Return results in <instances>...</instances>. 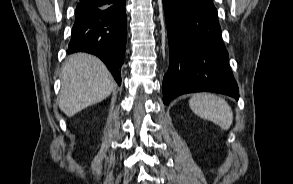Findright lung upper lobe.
I'll use <instances>...</instances> for the list:
<instances>
[{"instance_id": "obj_1", "label": "right lung upper lobe", "mask_w": 293, "mask_h": 184, "mask_svg": "<svg viewBox=\"0 0 293 184\" xmlns=\"http://www.w3.org/2000/svg\"><path fill=\"white\" fill-rule=\"evenodd\" d=\"M112 0H80V4H88L96 7H104L110 5Z\"/></svg>"}]
</instances>
